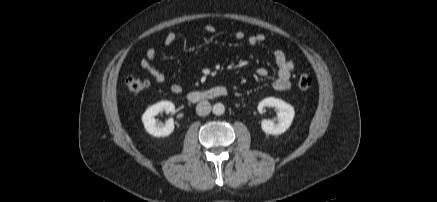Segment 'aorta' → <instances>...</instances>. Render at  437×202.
I'll list each match as a JSON object with an SVG mask.
<instances>
[{
	"label": "aorta",
	"mask_w": 437,
	"mask_h": 202,
	"mask_svg": "<svg viewBox=\"0 0 437 202\" xmlns=\"http://www.w3.org/2000/svg\"><path fill=\"white\" fill-rule=\"evenodd\" d=\"M212 111L215 115H222L225 112V106L222 103H216Z\"/></svg>",
	"instance_id": "762f6f07"
}]
</instances>
